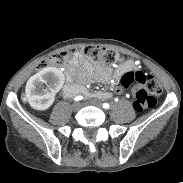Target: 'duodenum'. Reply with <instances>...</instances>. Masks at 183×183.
Segmentation results:
<instances>
[{"label":"duodenum","mask_w":183,"mask_h":183,"mask_svg":"<svg viewBox=\"0 0 183 183\" xmlns=\"http://www.w3.org/2000/svg\"><path fill=\"white\" fill-rule=\"evenodd\" d=\"M80 92V88L76 85L73 84H68L65 88H64V94L66 96H73L75 94H78Z\"/></svg>","instance_id":"obj_1"}]
</instances>
